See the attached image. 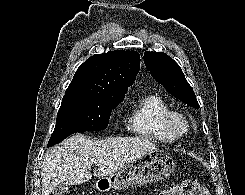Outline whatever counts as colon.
<instances>
[{
    "mask_svg": "<svg viewBox=\"0 0 245 195\" xmlns=\"http://www.w3.org/2000/svg\"><path fill=\"white\" fill-rule=\"evenodd\" d=\"M161 195H207V191L197 179H186L163 190Z\"/></svg>",
    "mask_w": 245,
    "mask_h": 195,
    "instance_id": "1",
    "label": "colon"
}]
</instances>
